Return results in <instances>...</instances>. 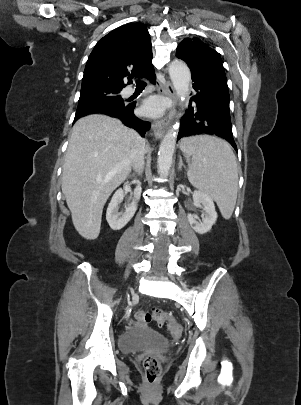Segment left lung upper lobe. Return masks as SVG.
Returning <instances> with one entry per match:
<instances>
[{"label":"left lung upper lobe","mask_w":301,"mask_h":405,"mask_svg":"<svg viewBox=\"0 0 301 405\" xmlns=\"http://www.w3.org/2000/svg\"><path fill=\"white\" fill-rule=\"evenodd\" d=\"M176 57L184 60L192 74L229 96L225 71L218 54L199 38H186L178 46Z\"/></svg>","instance_id":"1"}]
</instances>
